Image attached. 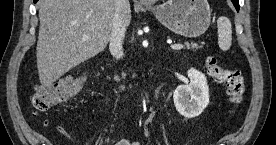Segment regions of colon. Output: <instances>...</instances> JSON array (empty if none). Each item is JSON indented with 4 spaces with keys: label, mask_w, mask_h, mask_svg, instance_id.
<instances>
[{
    "label": "colon",
    "mask_w": 276,
    "mask_h": 145,
    "mask_svg": "<svg viewBox=\"0 0 276 145\" xmlns=\"http://www.w3.org/2000/svg\"><path fill=\"white\" fill-rule=\"evenodd\" d=\"M204 67L217 82L226 86L231 104L237 107L245 94L241 71L222 67L215 57L206 58ZM82 89L83 80L78 77H65L50 85H37L31 97V105L36 112H43L69 102Z\"/></svg>",
    "instance_id": "obj_1"
}]
</instances>
